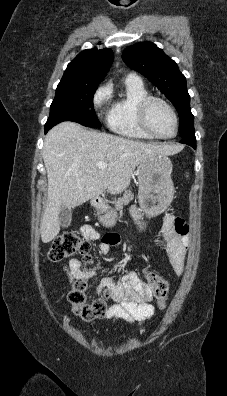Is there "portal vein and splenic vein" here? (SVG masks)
<instances>
[{"mask_svg": "<svg viewBox=\"0 0 227 396\" xmlns=\"http://www.w3.org/2000/svg\"><path fill=\"white\" fill-rule=\"evenodd\" d=\"M96 166H97L98 168H100V169H103V168L107 167L108 164L105 163V162L100 161V162H97V163H96Z\"/></svg>", "mask_w": 227, "mask_h": 396, "instance_id": "1", "label": "portal vein and splenic vein"}]
</instances>
